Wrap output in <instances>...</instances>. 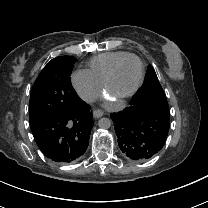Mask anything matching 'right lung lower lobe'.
Segmentation results:
<instances>
[{
  "instance_id": "right-lung-lower-lobe-1",
  "label": "right lung lower lobe",
  "mask_w": 208,
  "mask_h": 208,
  "mask_svg": "<svg viewBox=\"0 0 208 208\" xmlns=\"http://www.w3.org/2000/svg\"><path fill=\"white\" fill-rule=\"evenodd\" d=\"M91 107L80 99L76 110L30 123L41 152L57 163H72L86 151L94 125Z\"/></svg>"
}]
</instances>
